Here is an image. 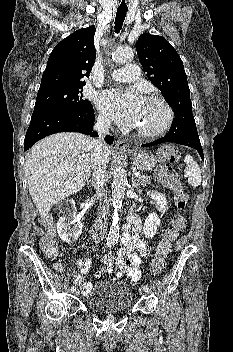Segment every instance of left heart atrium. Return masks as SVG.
<instances>
[{
	"label": "left heart atrium",
	"instance_id": "left-heart-atrium-1",
	"mask_svg": "<svg viewBox=\"0 0 233 352\" xmlns=\"http://www.w3.org/2000/svg\"><path fill=\"white\" fill-rule=\"evenodd\" d=\"M142 98L135 90L111 89L98 98L99 108L123 126L134 127L142 105Z\"/></svg>",
	"mask_w": 233,
	"mask_h": 352
}]
</instances>
